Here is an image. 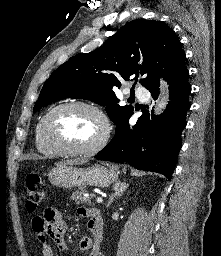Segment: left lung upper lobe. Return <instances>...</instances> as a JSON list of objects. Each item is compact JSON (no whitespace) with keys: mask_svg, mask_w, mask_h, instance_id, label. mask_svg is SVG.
Returning a JSON list of instances; mask_svg holds the SVG:
<instances>
[{"mask_svg":"<svg viewBox=\"0 0 221 256\" xmlns=\"http://www.w3.org/2000/svg\"><path fill=\"white\" fill-rule=\"evenodd\" d=\"M186 56L175 32L165 23L134 20L125 24L100 48L77 54L59 66L43 85L33 112L65 98H81L106 106L111 120L120 124L133 114V106L118 105L114 89L123 80L144 78L147 89L185 67Z\"/></svg>","mask_w":221,"mask_h":256,"instance_id":"1","label":"left lung upper lobe"}]
</instances>
